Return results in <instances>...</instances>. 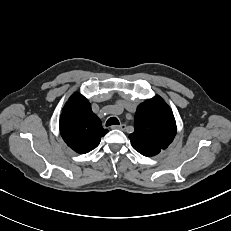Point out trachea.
I'll return each instance as SVG.
<instances>
[{"instance_id":"trachea-1","label":"trachea","mask_w":231,"mask_h":231,"mask_svg":"<svg viewBox=\"0 0 231 231\" xmlns=\"http://www.w3.org/2000/svg\"><path fill=\"white\" fill-rule=\"evenodd\" d=\"M120 123H119V121H118V119L116 118V117H111V118H109L108 120H107V122H106V126L108 127V126H111V125H119Z\"/></svg>"}]
</instances>
